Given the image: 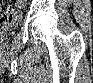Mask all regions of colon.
Wrapping results in <instances>:
<instances>
[{
	"instance_id": "1",
	"label": "colon",
	"mask_w": 93,
	"mask_h": 83,
	"mask_svg": "<svg viewBox=\"0 0 93 83\" xmlns=\"http://www.w3.org/2000/svg\"><path fill=\"white\" fill-rule=\"evenodd\" d=\"M10 3H23V1H20V2H16V1H9ZM15 9L12 8V7H9V6H4L2 7L1 9V13H0V16H1V22L3 24H6L8 23L11 19H12V16L15 14Z\"/></svg>"
}]
</instances>
